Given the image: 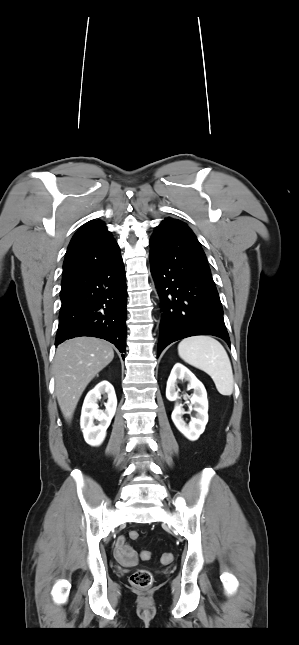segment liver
<instances>
[{
  "label": "liver",
  "mask_w": 299,
  "mask_h": 645,
  "mask_svg": "<svg viewBox=\"0 0 299 645\" xmlns=\"http://www.w3.org/2000/svg\"><path fill=\"white\" fill-rule=\"evenodd\" d=\"M113 358L112 346L94 337H77L58 346L54 359L55 393L66 421H71L89 382Z\"/></svg>",
  "instance_id": "liver-1"
}]
</instances>
